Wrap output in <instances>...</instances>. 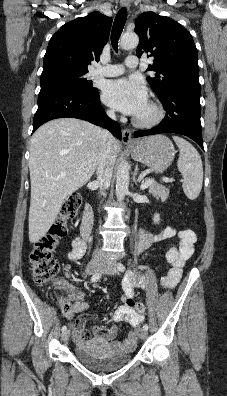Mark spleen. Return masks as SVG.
I'll list each match as a JSON object with an SVG mask.
<instances>
[{"label": "spleen", "mask_w": 227, "mask_h": 396, "mask_svg": "<svg viewBox=\"0 0 227 396\" xmlns=\"http://www.w3.org/2000/svg\"><path fill=\"white\" fill-rule=\"evenodd\" d=\"M179 149L178 169L183 176L182 188L185 195L193 200L201 191L203 183V166L198 151L185 139L174 136Z\"/></svg>", "instance_id": "1"}]
</instances>
